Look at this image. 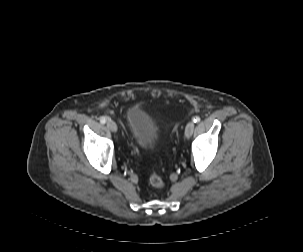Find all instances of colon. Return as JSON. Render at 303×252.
Wrapping results in <instances>:
<instances>
[{"mask_svg": "<svg viewBox=\"0 0 303 252\" xmlns=\"http://www.w3.org/2000/svg\"><path fill=\"white\" fill-rule=\"evenodd\" d=\"M150 183L156 187V188H162L164 186V181L162 180V178L156 174V173H153L151 176H150Z\"/></svg>", "mask_w": 303, "mask_h": 252, "instance_id": "colon-1", "label": "colon"}]
</instances>
